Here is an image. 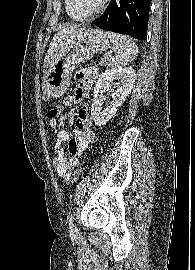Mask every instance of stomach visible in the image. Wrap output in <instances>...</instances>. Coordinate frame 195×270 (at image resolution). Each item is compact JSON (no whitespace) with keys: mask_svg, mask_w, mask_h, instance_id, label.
<instances>
[{"mask_svg":"<svg viewBox=\"0 0 195 270\" xmlns=\"http://www.w3.org/2000/svg\"><path fill=\"white\" fill-rule=\"evenodd\" d=\"M109 38L100 29L80 30L66 35L55 57L44 68L43 92L48 98L62 96L70 84L75 67L109 47Z\"/></svg>","mask_w":195,"mask_h":270,"instance_id":"1","label":"stomach"}]
</instances>
